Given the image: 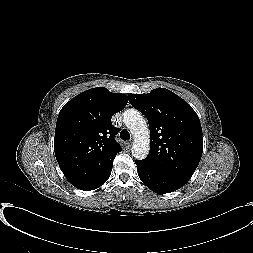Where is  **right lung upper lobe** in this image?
<instances>
[{
    "label": "right lung upper lobe",
    "mask_w": 253,
    "mask_h": 253,
    "mask_svg": "<svg viewBox=\"0 0 253 253\" xmlns=\"http://www.w3.org/2000/svg\"><path fill=\"white\" fill-rule=\"evenodd\" d=\"M128 98L97 87L82 92L61 109L55 129L54 150L63 174L71 184L88 181L105 172L122 149L115 141L111 117Z\"/></svg>",
    "instance_id": "right-lung-upper-lobe-1"
}]
</instances>
